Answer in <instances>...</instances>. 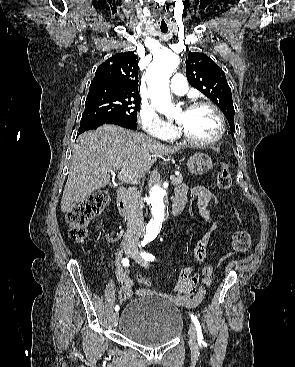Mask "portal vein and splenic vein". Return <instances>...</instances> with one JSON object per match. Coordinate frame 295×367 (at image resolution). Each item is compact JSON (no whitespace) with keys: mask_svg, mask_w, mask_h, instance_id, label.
Here are the masks:
<instances>
[{"mask_svg":"<svg viewBox=\"0 0 295 367\" xmlns=\"http://www.w3.org/2000/svg\"><path fill=\"white\" fill-rule=\"evenodd\" d=\"M118 177L120 178V180H122L126 183H131V184L137 183V180L135 178H133L132 176H130L126 170H121L118 174ZM170 179L171 180L174 179V176L171 175Z\"/></svg>","mask_w":295,"mask_h":367,"instance_id":"1","label":"portal vein and splenic vein"}]
</instances>
